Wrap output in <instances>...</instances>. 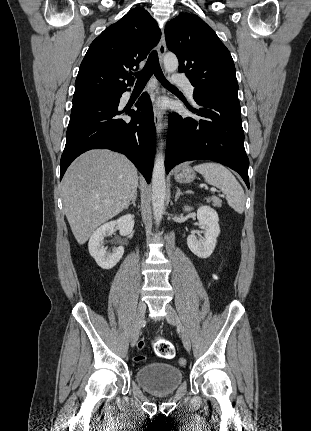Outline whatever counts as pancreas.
Segmentation results:
<instances>
[{"label": "pancreas", "instance_id": "1", "mask_svg": "<svg viewBox=\"0 0 311 431\" xmlns=\"http://www.w3.org/2000/svg\"><path fill=\"white\" fill-rule=\"evenodd\" d=\"M206 202H212V206H217V208H221L222 204V200H220V198H217V196H212V198H205Z\"/></svg>", "mask_w": 311, "mask_h": 431}]
</instances>
